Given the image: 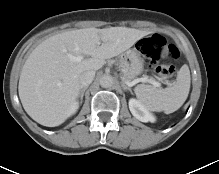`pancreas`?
<instances>
[{
  "label": "pancreas",
  "instance_id": "pancreas-1",
  "mask_svg": "<svg viewBox=\"0 0 219 174\" xmlns=\"http://www.w3.org/2000/svg\"><path fill=\"white\" fill-rule=\"evenodd\" d=\"M126 81L130 82L131 80H127V79H126Z\"/></svg>",
  "mask_w": 219,
  "mask_h": 174
}]
</instances>
